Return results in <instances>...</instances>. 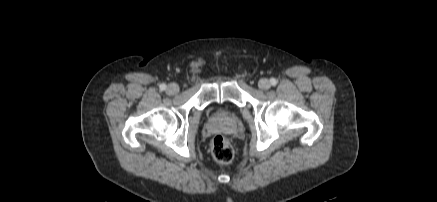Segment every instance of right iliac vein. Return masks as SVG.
Returning <instances> with one entry per match:
<instances>
[{
	"instance_id": "obj_1",
	"label": "right iliac vein",
	"mask_w": 437,
	"mask_h": 202,
	"mask_svg": "<svg viewBox=\"0 0 437 202\" xmlns=\"http://www.w3.org/2000/svg\"><path fill=\"white\" fill-rule=\"evenodd\" d=\"M166 91L170 95L177 94L179 92V86L176 83H171L168 85Z\"/></svg>"
}]
</instances>
